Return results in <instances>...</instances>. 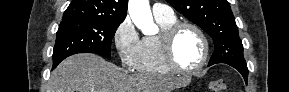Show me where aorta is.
<instances>
[{"mask_svg":"<svg viewBox=\"0 0 289 92\" xmlns=\"http://www.w3.org/2000/svg\"><path fill=\"white\" fill-rule=\"evenodd\" d=\"M128 12L133 23L147 35L153 34L157 27L153 22L148 0H130Z\"/></svg>","mask_w":289,"mask_h":92,"instance_id":"762f6f07","label":"aorta"}]
</instances>
